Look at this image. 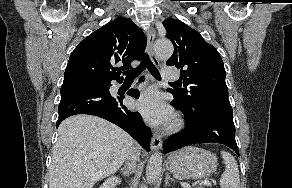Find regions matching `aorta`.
Wrapping results in <instances>:
<instances>
[{"mask_svg":"<svg viewBox=\"0 0 292 188\" xmlns=\"http://www.w3.org/2000/svg\"><path fill=\"white\" fill-rule=\"evenodd\" d=\"M154 50L160 60L169 59L174 51L172 43L167 39H159L155 42ZM162 169V154L156 152L151 155L147 167L146 178L149 183H154L159 178Z\"/></svg>","mask_w":292,"mask_h":188,"instance_id":"762f6f07","label":"aorta"}]
</instances>
